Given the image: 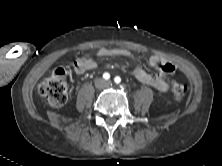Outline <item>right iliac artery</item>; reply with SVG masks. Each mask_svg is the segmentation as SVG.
Wrapping results in <instances>:
<instances>
[{
	"label": "right iliac artery",
	"instance_id": "right-iliac-artery-1",
	"mask_svg": "<svg viewBox=\"0 0 222 166\" xmlns=\"http://www.w3.org/2000/svg\"><path fill=\"white\" fill-rule=\"evenodd\" d=\"M103 78H104L105 80L110 79V74L107 73V72H105V73L103 74Z\"/></svg>",
	"mask_w": 222,
	"mask_h": 166
}]
</instances>
